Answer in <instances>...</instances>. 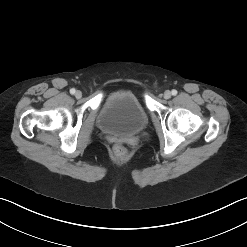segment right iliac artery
<instances>
[{
    "instance_id": "obj_1",
    "label": "right iliac artery",
    "mask_w": 247,
    "mask_h": 247,
    "mask_svg": "<svg viewBox=\"0 0 247 247\" xmlns=\"http://www.w3.org/2000/svg\"><path fill=\"white\" fill-rule=\"evenodd\" d=\"M76 92V90L74 88L70 89V93L74 94Z\"/></svg>"
}]
</instances>
